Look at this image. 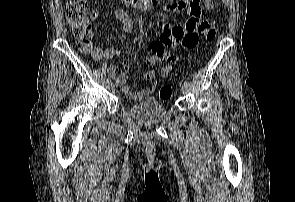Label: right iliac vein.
I'll return each mask as SVG.
<instances>
[{
	"mask_svg": "<svg viewBox=\"0 0 295 202\" xmlns=\"http://www.w3.org/2000/svg\"><path fill=\"white\" fill-rule=\"evenodd\" d=\"M107 86H108L109 88H114V87H115V84L112 83V82H108V83H107Z\"/></svg>",
	"mask_w": 295,
	"mask_h": 202,
	"instance_id": "right-iliac-vein-1",
	"label": "right iliac vein"
}]
</instances>
